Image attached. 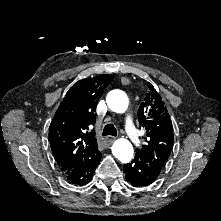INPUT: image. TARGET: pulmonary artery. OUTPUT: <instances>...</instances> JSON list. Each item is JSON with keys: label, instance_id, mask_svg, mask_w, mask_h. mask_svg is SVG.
<instances>
[{"label": "pulmonary artery", "instance_id": "pulmonary-artery-1", "mask_svg": "<svg viewBox=\"0 0 221 221\" xmlns=\"http://www.w3.org/2000/svg\"><path fill=\"white\" fill-rule=\"evenodd\" d=\"M123 124H124V129H125V132H126L127 136L133 142L138 143L139 138H138V135L136 133L135 126H134V123H133V118H132L131 114H129V113L125 114L124 119H123Z\"/></svg>", "mask_w": 221, "mask_h": 221}]
</instances>
